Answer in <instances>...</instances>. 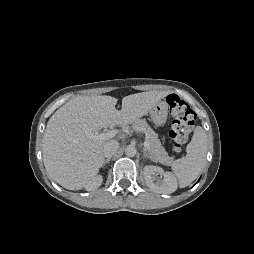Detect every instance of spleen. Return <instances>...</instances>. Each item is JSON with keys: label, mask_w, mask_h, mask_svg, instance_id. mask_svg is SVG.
<instances>
[{"label": "spleen", "mask_w": 254, "mask_h": 254, "mask_svg": "<svg viewBox=\"0 0 254 254\" xmlns=\"http://www.w3.org/2000/svg\"><path fill=\"white\" fill-rule=\"evenodd\" d=\"M186 156L172 163V170L178 178L179 186L190 185L200 174L206 160L207 136L204 129H194L191 142L187 145Z\"/></svg>", "instance_id": "spleen-1"}]
</instances>
